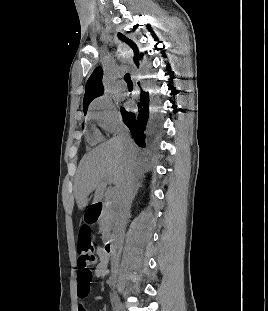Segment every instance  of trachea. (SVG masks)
I'll return each mask as SVG.
<instances>
[{
  "label": "trachea",
  "mask_w": 268,
  "mask_h": 311,
  "mask_svg": "<svg viewBox=\"0 0 268 311\" xmlns=\"http://www.w3.org/2000/svg\"><path fill=\"white\" fill-rule=\"evenodd\" d=\"M124 80H125L127 83H132L129 73L125 74Z\"/></svg>",
  "instance_id": "obj_1"
}]
</instances>
